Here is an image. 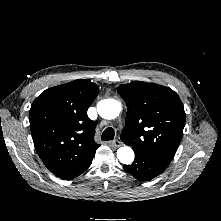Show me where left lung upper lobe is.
<instances>
[{
    "mask_svg": "<svg viewBox=\"0 0 221 221\" xmlns=\"http://www.w3.org/2000/svg\"><path fill=\"white\" fill-rule=\"evenodd\" d=\"M127 105L121 140L133 150L172 160L183 136L185 111L175 91L133 81L117 89Z\"/></svg>",
    "mask_w": 221,
    "mask_h": 221,
    "instance_id": "1",
    "label": "left lung upper lobe"
}]
</instances>
